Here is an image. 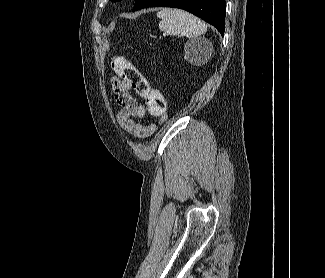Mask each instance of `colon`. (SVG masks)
<instances>
[{
    "label": "colon",
    "instance_id": "obj_1",
    "mask_svg": "<svg viewBox=\"0 0 325 278\" xmlns=\"http://www.w3.org/2000/svg\"><path fill=\"white\" fill-rule=\"evenodd\" d=\"M112 70L121 80L128 83L137 94L146 100L151 115L163 117L166 104L163 95L153 88L148 79L122 55H116L111 60Z\"/></svg>",
    "mask_w": 325,
    "mask_h": 278
}]
</instances>
